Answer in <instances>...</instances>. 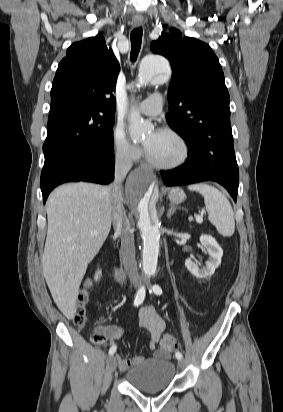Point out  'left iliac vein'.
I'll return each instance as SVG.
<instances>
[{
    "label": "left iliac vein",
    "mask_w": 283,
    "mask_h": 412,
    "mask_svg": "<svg viewBox=\"0 0 283 412\" xmlns=\"http://www.w3.org/2000/svg\"><path fill=\"white\" fill-rule=\"evenodd\" d=\"M178 366H179L181 369H183V368L185 367V362L180 359V360L178 361Z\"/></svg>",
    "instance_id": "left-iliac-vein-1"
}]
</instances>
